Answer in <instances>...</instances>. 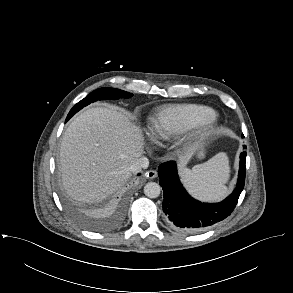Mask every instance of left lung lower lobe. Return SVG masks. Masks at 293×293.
Wrapping results in <instances>:
<instances>
[{"mask_svg": "<svg viewBox=\"0 0 293 293\" xmlns=\"http://www.w3.org/2000/svg\"><path fill=\"white\" fill-rule=\"evenodd\" d=\"M245 160L246 152H242L236 188L230 196L219 203H201L192 198L179 180L176 162L168 161L161 164L158 168L159 183L164 191L162 207L168 224L183 233H197L228 217L244 188Z\"/></svg>", "mask_w": 293, "mask_h": 293, "instance_id": "left-lung-lower-lobe-1", "label": "left lung lower lobe"}]
</instances>
